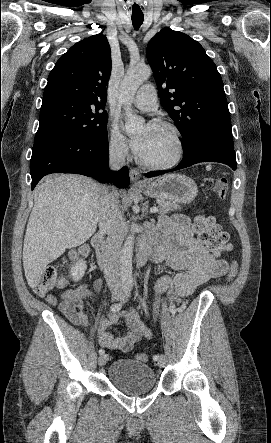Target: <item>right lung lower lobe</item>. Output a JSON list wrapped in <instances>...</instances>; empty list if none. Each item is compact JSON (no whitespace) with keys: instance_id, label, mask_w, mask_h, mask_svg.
Masks as SVG:
<instances>
[{"instance_id":"98d812e1","label":"right lung lower lobe","mask_w":271,"mask_h":443,"mask_svg":"<svg viewBox=\"0 0 271 443\" xmlns=\"http://www.w3.org/2000/svg\"><path fill=\"white\" fill-rule=\"evenodd\" d=\"M108 156L107 133L89 140L62 134L44 136L34 141L30 161L32 190L43 176L51 173L82 174L121 188L128 187L127 167L111 172Z\"/></svg>"}]
</instances>
